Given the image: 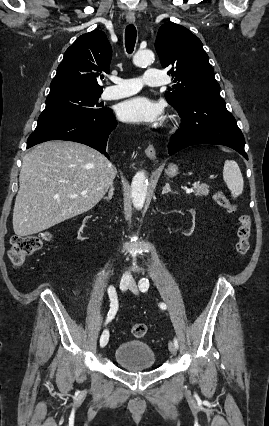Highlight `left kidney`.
I'll return each instance as SVG.
<instances>
[{
	"mask_svg": "<svg viewBox=\"0 0 269 426\" xmlns=\"http://www.w3.org/2000/svg\"><path fill=\"white\" fill-rule=\"evenodd\" d=\"M189 213L192 216V220L188 222V225H187L188 229H186V230H184L182 232V234H184L185 236H190L193 233L194 227H195V215H196V212H195L194 209H190Z\"/></svg>",
	"mask_w": 269,
	"mask_h": 426,
	"instance_id": "obj_1",
	"label": "left kidney"
}]
</instances>
